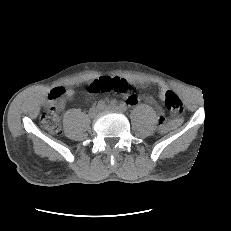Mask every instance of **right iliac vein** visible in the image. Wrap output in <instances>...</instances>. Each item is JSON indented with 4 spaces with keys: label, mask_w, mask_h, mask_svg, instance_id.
Returning <instances> with one entry per match:
<instances>
[{
    "label": "right iliac vein",
    "mask_w": 231,
    "mask_h": 231,
    "mask_svg": "<svg viewBox=\"0 0 231 231\" xmlns=\"http://www.w3.org/2000/svg\"><path fill=\"white\" fill-rule=\"evenodd\" d=\"M99 113H100V108H98V107H93V108H91L90 111H89V115H90V117H92V118L98 116Z\"/></svg>",
    "instance_id": "1"
}]
</instances>
